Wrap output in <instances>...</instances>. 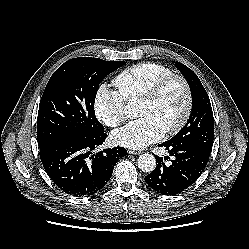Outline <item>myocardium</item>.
Wrapping results in <instances>:
<instances>
[{"instance_id": "f54148a6", "label": "myocardium", "mask_w": 249, "mask_h": 249, "mask_svg": "<svg viewBox=\"0 0 249 249\" xmlns=\"http://www.w3.org/2000/svg\"><path fill=\"white\" fill-rule=\"evenodd\" d=\"M173 81L179 82L182 86V89L184 91L185 103L183 112L179 120L173 126L165 130V134L167 135H174L178 133L186 125L187 121L190 118L193 108V95L188 81L181 75L171 74L157 81L140 97L143 101L154 102L159 98L167 85H169Z\"/></svg>"}]
</instances>
